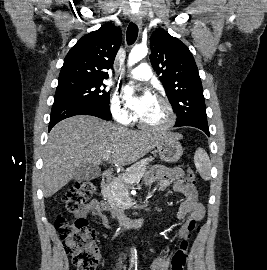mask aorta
Listing matches in <instances>:
<instances>
[{
  "instance_id": "762f6f07",
  "label": "aorta",
  "mask_w": 267,
  "mask_h": 270,
  "mask_svg": "<svg viewBox=\"0 0 267 270\" xmlns=\"http://www.w3.org/2000/svg\"><path fill=\"white\" fill-rule=\"evenodd\" d=\"M148 53V48L147 46H143V45H137L135 46L128 57V66H132L135 63H137L138 61H140L141 59H143L144 57H146Z\"/></svg>"
}]
</instances>
